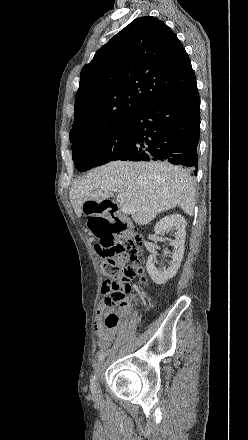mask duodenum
Listing matches in <instances>:
<instances>
[{
	"instance_id": "1",
	"label": "duodenum",
	"mask_w": 248,
	"mask_h": 440,
	"mask_svg": "<svg viewBox=\"0 0 248 440\" xmlns=\"http://www.w3.org/2000/svg\"><path fill=\"white\" fill-rule=\"evenodd\" d=\"M101 204H104V207H105L107 210H112V209H114L115 211H117V206H116V204H115L113 201H110V200H104V201H102ZM122 229H123V226H120V228L118 229V231H120V230H122Z\"/></svg>"
}]
</instances>
